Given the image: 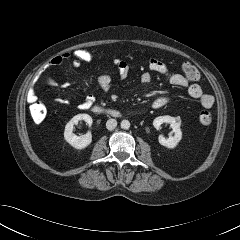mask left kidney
Segmentation results:
<instances>
[{"label":"left kidney","mask_w":240,"mask_h":240,"mask_svg":"<svg viewBox=\"0 0 240 240\" xmlns=\"http://www.w3.org/2000/svg\"><path fill=\"white\" fill-rule=\"evenodd\" d=\"M169 123L171 128L173 129V136L169 138H165L162 135L159 136V143L169 149L175 148L180 140L182 139V131H181V120L176 117H171L169 115L159 116L153 120V126L159 130L161 124Z\"/></svg>","instance_id":"left-kidney-1"}]
</instances>
